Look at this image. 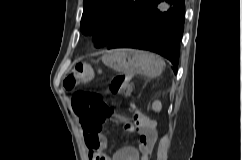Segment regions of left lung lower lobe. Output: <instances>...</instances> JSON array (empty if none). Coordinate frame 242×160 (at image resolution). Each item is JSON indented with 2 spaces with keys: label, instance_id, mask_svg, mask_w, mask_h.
<instances>
[{
  "label": "left lung lower lobe",
  "instance_id": "0a47b994",
  "mask_svg": "<svg viewBox=\"0 0 242 160\" xmlns=\"http://www.w3.org/2000/svg\"><path fill=\"white\" fill-rule=\"evenodd\" d=\"M184 16V0H150L135 22L107 47L156 52L167 58L177 72Z\"/></svg>",
  "mask_w": 242,
  "mask_h": 160
}]
</instances>
